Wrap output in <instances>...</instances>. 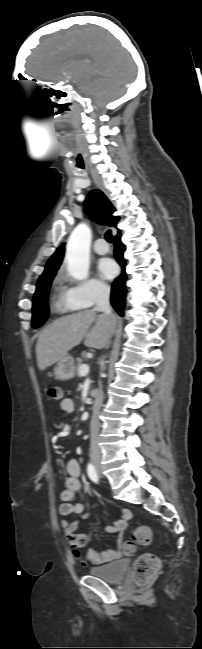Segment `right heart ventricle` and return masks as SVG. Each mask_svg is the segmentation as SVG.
I'll return each mask as SVG.
<instances>
[{
	"label": "right heart ventricle",
	"mask_w": 202,
	"mask_h": 649,
	"mask_svg": "<svg viewBox=\"0 0 202 649\" xmlns=\"http://www.w3.org/2000/svg\"><path fill=\"white\" fill-rule=\"evenodd\" d=\"M65 287L63 285V278L61 276H58L55 281L54 285V293H53V300L55 304V308L59 311H69L70 309L67 308L64 303H63V296L65 293Z\"/></svg>",
	"instance_id": "e07e8e85"
}]
</instances>
